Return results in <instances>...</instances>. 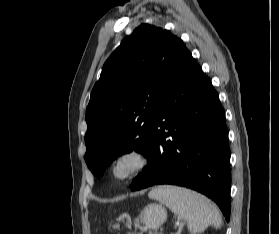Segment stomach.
Here are the masks:
<instances>
[{
    "label": "stomach",
    "instance_id": "0dacf381",
    "mask_svg": "<svg viewBox=\"0 0 279 234\" xmlns=\"http://www.w3.org/2000/svg\"><path fill=\"white\" fill-rule=\"evenodd\" d=\"M167 218V212L165 208L160 204H149L147 205L135 219V223H143L149 229L159 228ZM128 220L129 217L124 214L121 215L118 220Z\"/></svg>",
    "mask_w": 279,
    "mask_h": 234
}]
</instances>
